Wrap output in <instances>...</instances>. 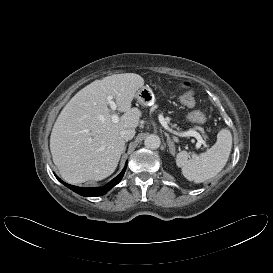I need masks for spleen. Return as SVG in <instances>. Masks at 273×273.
<instances>
[{"instance_id":"1","label":"spleen","mask_w":273,"mask_h":273,"mask_svg":"<svg viewBox=\"0 0 273 273\" xmlns=\"http://www.w3.org/2000/svg\"><path fill=\"white\" fill-rule=\"evenodd\" d=\"M232 148V135L228 129H222L217 134L216 143L199 156L192 158L186 151L176 155V165L182 169V174L189 181L202 183L217 175L226 165Z\"/></svg>"}]
</instances>
